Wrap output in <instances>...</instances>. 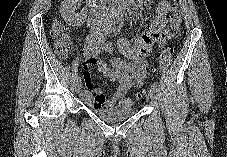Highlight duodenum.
I'll return each mask as SVG.
<instances>
[{"label":"duodenum","instance_id":"410a0bca","mask_svg":"<svg viewBox=\"0 0 227 157\" xmlns=\"http://www.w3.org/2000/svg\"><path fill=\"white\" fill-rule=\"evenodd\" d=\"M137 0H131L129 3V8H132L136 5ZM92 6L96 10L98 7V0H92ZM113 23H123V14L122 15H114L113 17ZM102 28L96 26L95 32H101Z\"/></svg>","mask_w":227,"mask_h":157}]
</instances>
